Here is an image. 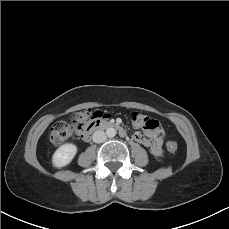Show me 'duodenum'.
Wrapping results in <instances>:
<instances>
[{
    "mask_svg": "<svg viewBox=\"0 0 229 229\" xmlns=\"http://www.w3.org/2000/svg\"><path fill=\"white\" fill-rule=\"evenodd\" d=\"M106 128H115V129H117L119 131L121 136H126L125 129L121 125H119L118 123H115V122H112V121H106V120H103V119H98L96 121H93L89 125L85 138L88 139L89 136L93 132L98 131L100 129H106Z\"/></svg>",
    "mask_w": 229,
    "mask_h": 229,
    "instance_id": "duodenum-1",
    "label": "duodenum"
}]
</instances>
